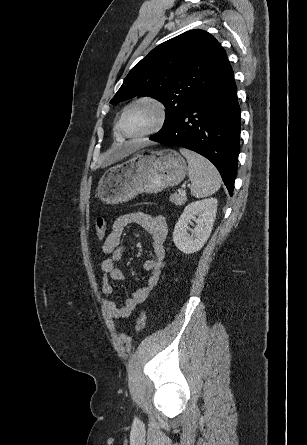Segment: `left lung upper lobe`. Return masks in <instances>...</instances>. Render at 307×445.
Returning a JSON list of instances; mask_svg holds the SVG:
<instances>
[{"mask_svg": "<svg viewBox=\"0 0 307 445\" xmlns=\"http://www.w3.org/2000/svg\"><path fill=\"white\" fill-rule=\"evenodd\" d=\"M231 69L226 52L208 32L195 29L156 48L129 72L111 104L150 96L166 107L168 129Z\"/></svg>", "mask_w": 307, "mask_h": 445, "instance_id": "1", "label": "left lung upper lobe"}]
</instances>
